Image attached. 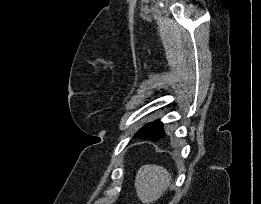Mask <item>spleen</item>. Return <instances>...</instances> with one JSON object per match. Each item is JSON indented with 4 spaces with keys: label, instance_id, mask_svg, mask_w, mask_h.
<instances>
[{
    "label": "spleen",
    "instance_id": "obj_1",
    "mask_svg": "<svg viewBox=\"0 0 261 204\" xmlns=\"http://www.w3.org/2000/svg\"><path fill=\"white\" fill-rule=\"evenodd\" d=\"M171 175L162 166L155 164L143 165L135 179L136 193L144 204L159 199L170 185Z\"/></svg>",
    "mask_w": 261,
    "mask_h": 204
}]
</instances>
